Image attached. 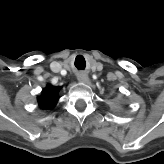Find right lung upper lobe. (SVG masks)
Segmentation results:
<instances>
[{"mask_svg": "<svg viewBox=\"0 0 164 164\" xmlns=\"http://www.w3.org/2000/svg\"><path fill=\"white\" fill-rule=\"evenodd\" d=\"M61 87H52L48 85L43 89L42 95L38 97L39 105L42 108H49L56 104L58 101V92Z\"/></svg>", "mask_w": 164, "mask_h": 164, "instance_id": "cb5924a9", "label": "right lung upper lobe"}]
</instances>
